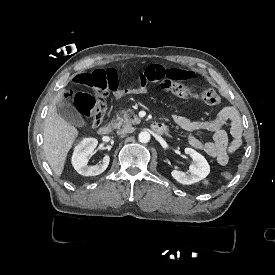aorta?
Returning a JSON list of instances; mask_svg holds the SVG:
<instances>
[{
	"mask_svg": "<svg viewBox=\"0 0 275 275\" xmlns=\"http://www.w3.org/2000/svg\"><path fill=\"white\" fill-rule=\"evenodd\" d=\"M138 140L141 143H148L150 141V134L147 131H142L138 135Z\"/></svg>",
	"mask_w": 275,
	"mask_h": 275,
	"instance_id": "762f6f07",
	"label": "aorta"
}]
</instances>
